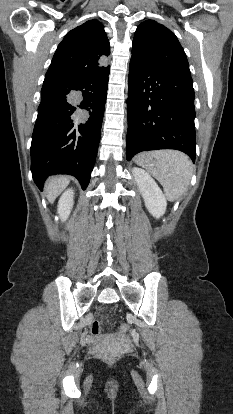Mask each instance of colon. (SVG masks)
Returning a JSON list of instances; mask_svg holds the SVG:
<instances>
[{
    "label": "colon",
    "mask_w": 233,
    "mask_h": 414,
    "mask_svg": "<svg viewBox=\"0 0 233 414\" xmlns=\"http://www.w3.org/2000/svg\"><path fill=\"white\" fill-rule=\"evenodd\" d=\"M118 331L121 334H126L129 331V326L126 323H121L118 326ZM90 332L93 336H98L101 332L100 323L98 321H94L91 325Z\"/></svg>",
    "instance_id": "obj_1"
}]
</instances>
